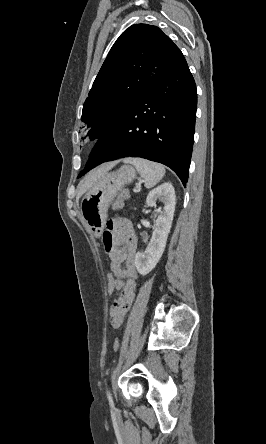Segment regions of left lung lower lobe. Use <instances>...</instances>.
Instances as JSON below:
<instances>
[{
	"mask_svg": "<svg viewBox=\"0 0 266 444\" xmlns=\"http://www.w3.org/2000/svg\"><path fill=\"white\" fill-rule=\"evenodd\" d=\"M196 107V85L184 58L101 137L82 174L105 161L141 157L170 167L186 186Z\"/></svg>",
	"mask_w": 266,
	"mask_h": 444,
	"instance_id": "obj_1",
	"label": "left lung lower lobe"
}]
</instances>
